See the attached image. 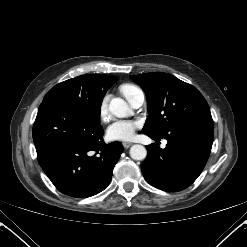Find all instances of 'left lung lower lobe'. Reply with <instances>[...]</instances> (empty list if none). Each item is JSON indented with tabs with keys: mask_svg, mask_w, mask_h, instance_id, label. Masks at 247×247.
I'll return each mask as SVG.
<instances>
[{
	"mask_svg": "<svg viewBox=\"0 0 247 247\" xmlns=\"http://www.w3.org/2000/svg\"><path fill=\"white\" fill-rule=\"evenodd\" d=\"M154 140L165 138L166 148L146 146L148 155L142 164L147 182L168 192L190 186L202 172L213 143L212 119H199L176 127L163 137L145 133Z\"/></svg>",
	"mask_w": 247,
	"mask_h": 247,
	"instance_id": "1",
	"label": "left lung lower lobe"
}]
</instances>
